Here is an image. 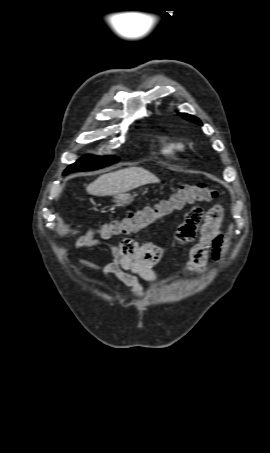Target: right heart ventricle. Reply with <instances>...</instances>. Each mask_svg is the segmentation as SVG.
Wrapping results in <instances>:
<instances>
[{
	"label": "right heart ventricle",
	"mask_w": 270,
	"mask_h": 453,
	"mask_svg": "<svg viewBox=\"0 0 270 453\" xmlns=\"http://www.w3.org/2000/svg\"><path fill=\"white\" fill-rule=\"evenodd\" d=\"M185 150V144L181 141L166 139L163 143V151L165 153H179Z\"/></svg>",
	"instance_id": "obj_1"
}]
</instances>
